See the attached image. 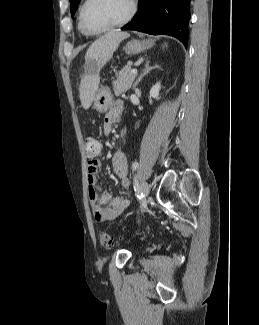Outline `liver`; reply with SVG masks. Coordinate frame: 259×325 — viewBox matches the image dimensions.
Masks as SVG:
<instances>
[{
  "label": "liver",
  "mask_w": 259,
  "mask_h": 325,
  "mask_svg": "<svg viewBox=\"0 0 259 325\" xmlns=\"http://www.w3.org/2000/svg\"><path fill=\"white\" fill-rule=\"evenodd\" d=\"M128 37L129 33L127 32L113 30L99 37L87 49L85 61L91 65L96 73L94 75L90 74L81 80L79 92L84 109H88L94 100L100 81L98 71L112 58L119 43Z\"/></svg>",
  "instance_id": "obj_1"
}]
</instances>
